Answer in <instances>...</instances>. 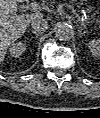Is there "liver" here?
Listing matches in <instances>:
<instances>
[{
	"label": "liver",
	"mask_w": 100,
	"mask_h": 118,
	"mask_svg": "<svg viewBox=\"0 0 100 118\" xmlns=\"http://www.w3.org/2000/svg\"><path fill=\"white\" fill-rule=\"evenodd\" d=\"M26 0H0V59L4 60L7 48L19 39L34 18L41 13L17 15V2Z\"/></svg>",
	"instance_id": "6515ba94"
}]
</instances>
